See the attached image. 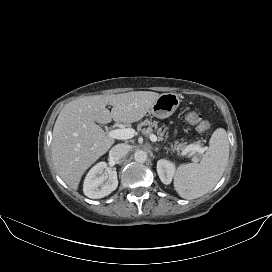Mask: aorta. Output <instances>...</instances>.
Wrapping results in <instances>:
<instances>
[{
  "label": "aorta",
  "instance_id": "1",
  "mask_svg": "<svg viewBox=\"0 0 272 272\" xmlns=\"http://www.w3.org/2000/svg\"><path fill=\"white\" fill-rule=\"evenodd\" d=\"M134 159L136 162L143 163L147 160V153L143 150H137L134 153Z\"/></svg>",
  "mask_w": 272,
  "mask_h": 272
}]
</instances>
